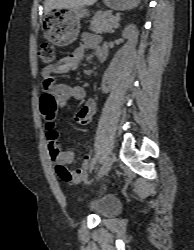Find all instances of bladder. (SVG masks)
<instances>
[{
	"label": "bladder",
	"mask_w": 194,
	"mask_h": 250,
	"mask_svg": "<svg viewBox=\"0 0 194 250\" xmlns=\"http://www.w3.org/2000/svg\"><path fill=\"white\" fill-rule=\"evenodd\" d=\"M84 209L100 218H105L115 215L120 209V203L116 197L103 196L87 201L84 204Z\"/></svg>",
	"instance_id": "obj_1"
}]
</instances>
